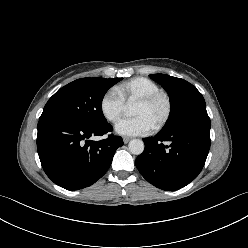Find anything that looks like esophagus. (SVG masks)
<instances>
[{"label": "esophagus", "instance_id": "obj_1", "mask_svg": "<svg viewBox=\"0 0 248 248\" xmlns=\"http://www.w3.org/2000/svg\"><path fill=\"white\" fill-rule=\"evenodd\" d=\"M130 140H131V138H129V137H124V138H123V142H124L125 144L128 143Z\"/></svg>", "mask_w": 248, "mask_h": 248}]
</instances>
